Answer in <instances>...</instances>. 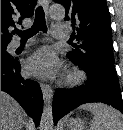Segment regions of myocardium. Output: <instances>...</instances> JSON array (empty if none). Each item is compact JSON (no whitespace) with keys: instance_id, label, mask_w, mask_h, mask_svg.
<instances>
[{"instance_id":"1","label":"myocardium","mask_w":123,"mask_h":130,"mask_svg":"<svg viewBox=\"0 0 123 130\" xmlns=\"http://www.w3.org/2000/svg\"><path fill=\"white\" fill-rule=\"evenodd\" d=\"M85 79V74L80 70H73L68 73L66 77V82L71 85H77L83 82Z\"/></svg>"}]
</instances>
